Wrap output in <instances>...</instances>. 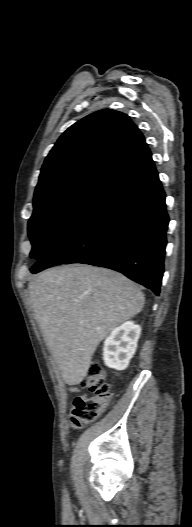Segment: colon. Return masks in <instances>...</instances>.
<instances>
[{"mask_svg":"<svg viewBox=\"0 0 192 527\" xmlns=\"http://www.w3.org/2000/svg\"><path fill=\"white\" fill-rule=\"evenodd\" d=\"M80 385L93 395L80 396L74 401L71 421L74 427L95 420L109 405L113 398L111 384L106 380L104 368L98 363H91Z\"/></svg>","mask_w":192,"mask_h":527,"instance_id":"obj_1","label":"colon"}]
</instances>
